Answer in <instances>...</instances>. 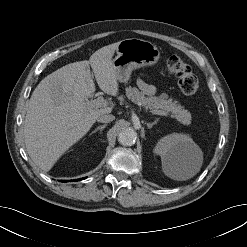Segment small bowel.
Segmentation results:
<instances>
[{
  "instance_id": "small-bowel-1",
  "label": "small bowel",
  "mask_w": 247,
  "mask_h": 247,
  "mask_svg": "<svg viewBox=\"0 0 247 247\" xmlns=\"http://www.w3.org/2000/svg\"><path fill=\"white\" fill-rule=\"evenodd\" d=\"M138 86L148 96H152L155 94V88L152 85L146 83L141 78L138 81Z\"/></svg>"
}]
</instances>
